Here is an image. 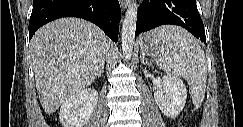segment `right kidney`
<instances>
[{
    "label": "right kidney",
    "instance_id": "obj_1",
    "mask_svg": "<svg viewBox=\"0 0 243 127\" xmlns=\"http://www.w3.org/2000/svg\"><path fill=\"white\" fill-rule=\"evenodd\" d=\"M98 102V92L86 88L68 98L61 106L59 119L63 127H83L88 123Z\"/></svg>",
    "mask_w": 243,
    "mask_h": 127
}]
</instances>
